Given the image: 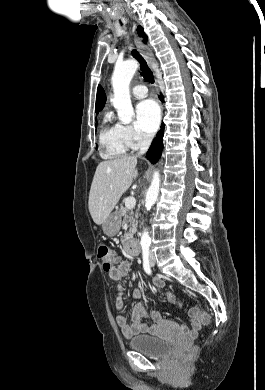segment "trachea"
Returning <instances> with one entry per match:
<instances>
[{"label": "trachea", "mask_w": 265, "mask_h": 390, "mask_svg": "<svg viewBox=\"0 0 265 390\" xmlns=\"http://www.w3.org/2000/svg\"><path fill=\"white\" fill-rule=\"evenodd\" d=\"M133 57L136 58L140 63V69H141V75L145 78L146 81L153 84L154 83V77L153 74L148 67L146 61L143 59V57L135 50H132Z\"/></svg>", "instance_id": "3493384b"}]
</instances>
